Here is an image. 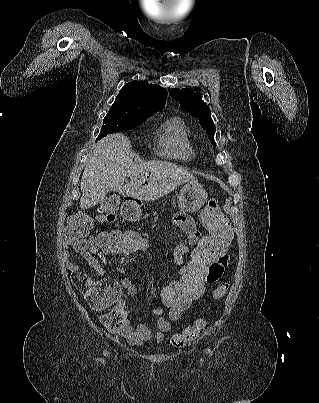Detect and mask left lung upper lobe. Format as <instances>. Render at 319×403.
Segmentation results:
<instances>
[{
    "label": "left lung upper lobe",
    "mask_w": 319,
    "mask_h": 403,
    "mask_svg": "<svg viewBox=\"0 0 319 403\" xmlns=\"http://www.w3.org/2000/svg\"><path fill=\"white\" fill-rule=\"evenodd\" d=\"M169 94L175 100H178L182 109L188 112L191 116L198 118L204 129L209 134V139L213 145L215 125L211 119V111L209 106L202 101L200 93H194L191 89H171Z\"/></svg>",
    "instance_id": "obj_1"
}]
</instances>
